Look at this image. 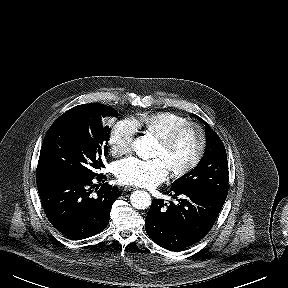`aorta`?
Listing matches in <instances>:
<instances>
[{"label": "aorta", "instance_id": "1", "mask_svg": "<svg viewBox=\"0 0 288 288\" xmlns=\"http://www.w3.org/2000/svg\"><path fill=\"white\" fill-rule=\"evenodd\" d=\"M156 146V139L150 135L138 137L133 142L134 151L142 159L152 158ZM130 202L136 209H146L151 205V196L146 191L137 190L131 194Z\"/></svg>", "mask_w": 288, "mask_h": 288}]
</instances>
